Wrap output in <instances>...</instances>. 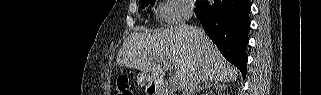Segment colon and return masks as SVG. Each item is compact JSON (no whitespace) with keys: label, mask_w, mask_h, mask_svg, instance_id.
I'll return each mask as SVG.
<instances>
[{"label":"colon","mask_w":321,"mask_h":95,"mask_svg":"<svg viewBox=\"0 0 321 95\" xmlns=\"http://www.w3.org/2000/svg\"><path fill=\"white\" fill-rule=\"evenodd\" d=\"M118 95H133L130 83L126 77H120L117 80Z\"/></svg>","instance_id":"1"}]
</instances>
